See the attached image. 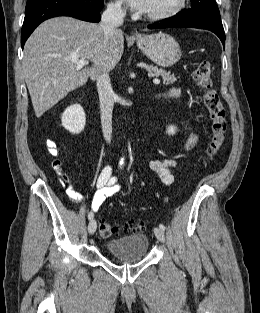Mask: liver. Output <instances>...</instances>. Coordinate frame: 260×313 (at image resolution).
Wrapping results in <instances>:
<instances>
[{"instance_id": "liver-1", "label": "liver", "mask_w": 260, "mask_h": 313, "mask_svg": "<svg viewBox=\"0 0 260 313\" xmlns=\"http://www.w3.org/2000/svg\"><path fill=\"white\" fill-rule=\"evenodd\" d=\"M124 50L121 30L105 42L100 24L56 17L40 24L24 46L22 70L35 115L39 118L71 91L106 68L113 69ZM72 56L90 61L78 68Z\"/></svg>"}]
</instances>
